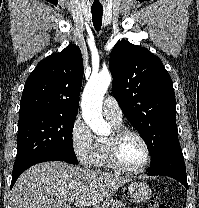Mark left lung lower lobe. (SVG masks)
<instances>
[{
    "instance_id": "0a47b994",
    "label": "left lung lower lobe",
    "mask_w": 199,
    "mask_h": 208,
    "mask_svg": "<svg viewBox=\"0 0 199 208\" xmlns=\"http://www.w3.org/2000/svg\"><path fill=\"white\" fill-rule=\"evenodd\" d=\"M149 176L165 175L172 177L188 188L185 163L179 142L167 147L147 170Z\"/></svg>"
}]
</instances>
